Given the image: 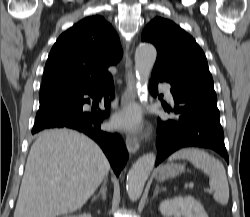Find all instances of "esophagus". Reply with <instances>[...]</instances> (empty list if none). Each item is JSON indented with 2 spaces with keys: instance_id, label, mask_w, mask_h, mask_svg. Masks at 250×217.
<instances>
[{
  "instance_id": "esophagus-1",
  "label": "esophagus",
  "mask_w": 250,
  "mask_h": 217,
  "mask_svg": "<svg viewBox=\"0 0 250 217\" xmlns=\"http://www.w3.org/2000/svg\"><path fill=\"white\" fill-rule=\"evenodd\" d=\"M129 46L127 45V51L125 53L126 58V89L121 97V106L123 108L128 107L135 102V75L133 71V63L128 51ZM126 147L130 154H134L139 150V139L136 135L128 133L126 135Z\"/></svg>"
}]
</instances>
